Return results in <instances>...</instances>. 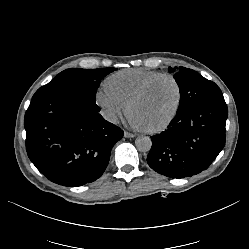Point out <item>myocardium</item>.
Wrapping results in <instances>:
<instances>
[{
	"label": "myocardium",
	"mask_w": 249,
	"mask_h": 249,
	"mask_svg": "<svg viewBox=\"0 0 249 249\" xmlns=\"http://www.w3.org/2000/svg\"><path fill=\"white\" fill-rule=\"evenodd\" d=\"M170 79L176 86L177 88V92H178V100H177V104L176 107L173 111V113L164 121L162 122L160 125L154 127V128H150V129H146L145 131L149 134H156V133H160L163 132L164 130H166L177 118L181 106H182V102H183V89L182 86L179 82V80L172 74L170 73H162L160 75H157L153 78H151L150 80H148L147 82H145L140 89L132 96V98L129 100L128 102V108L131 109L132 105L138 101L141 97H143L148 90L159 80L161 79Z\"/></svg>",
	"instance_id": "myocardium-1"
}]
</instances>
